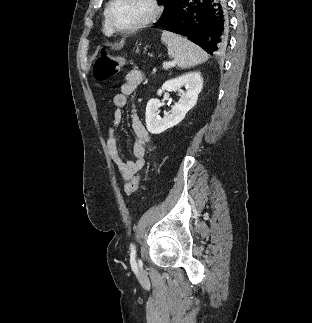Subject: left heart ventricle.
I'll use <instances>...</instances> for the list:
<instances>
[{
	"mask_svg": "<svg viewBox=\"0 0 312 323\" xmlns=\"http://www.w3.org/2000/svg\"><path fill=\"white\" fill-rule=\"evenodd\" d=\"M150 3L145 0H119L111 7V18H147Z\"/></svg>",
	"mask_w": 312,
	"mask_h": 323,
	"instance_id": "obj_1",
	"label": "left heart ventricle"
}]
</instances>
